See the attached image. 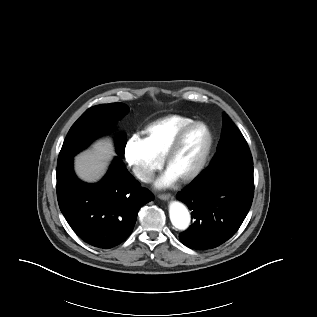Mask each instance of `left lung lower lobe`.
Returning <instances> with one entry per match:
<instances>
[{
  "label": "left lung lower lobe",
  "mask_w": 317,
  "mask_h": 317,
  "mask_svg": "<svg viewBox=\"0 0 317 317\" xmlns=\"http://www.w3.org/2000/svg\"><path fill=\"white\" fill-rule=\"evenodd\" d=\"M253 164L230 161L208 167L177 198L192 211L194 223L179 235L191 249H213L232 237L252 204Z\"/></svg>",
  "instance_id": "1"
}]
</instances>
